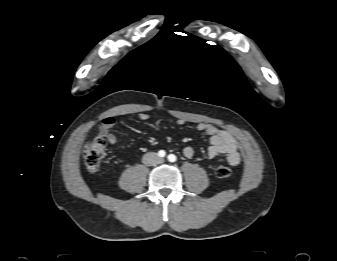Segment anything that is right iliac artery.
Here are the masks:
<instances>
[{
  "label": "right iliac artery",
  "mask_w": 337,
  "mask_h": 261,
  "mask_svg": "<svg viewBox=\"0 0 337 261\" xmlns=\"http://www.w3.org/2000/svg\"><path fill=\"white\" fill-rule=\"evenodd\" d=\"M158 155H159L160 157H164V156L166 155V152H165L164 150H160V151L158 152Z\"/></svg>",
  "instance_id": "right-iliac-artery-1"
}]
</instances>
